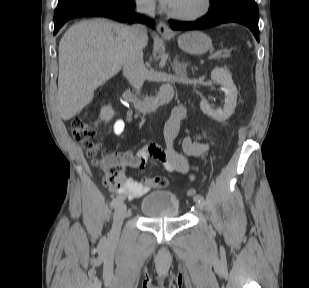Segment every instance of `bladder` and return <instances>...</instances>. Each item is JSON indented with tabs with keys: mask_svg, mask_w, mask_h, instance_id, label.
Instances as JSON below:
<instances>
[{
	"mask_svg": "<svg viewBox=\"0 0 309 288\" xmlns=\"http://www.w3.org/2000/svg\"><path fill=\"white\" fill-rule=\"evenodd\" d=\"M179 210V198L171 191L148 192L140 203V211L146 218H174Z\"/></svg>",
	"mask_w": 309,
	"mask_h": 288,
	"instance_id": "1",
	"label": "bladder"
}]
</instances>
